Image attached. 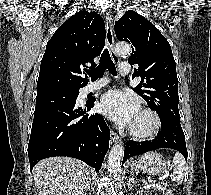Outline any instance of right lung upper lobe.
<instances>
[{"label": "right lung upper lobe", "mask_w": 211, "mask_h": 195, "mask_svg": "<svg viewBox=\"0 0 211 195\" xmlns=\"http://www.w3.org/2000/svg\"><path fill=\"white\" fill-rule=\"evenodd\" d=\"M105 44V24L100 15L79 11L63 23L46 45L37 82V94L87 84L81 74L96 66ZM91 64V67L88 65Z\"/></svg>", "instance_id": "1"}]
</instances>
